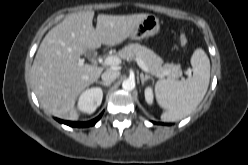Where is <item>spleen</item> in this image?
Wrapping results in <instances>:
<instances>
[{
  "label": "spleen",
  "instance_id": "1",
  "mask_svg": "<svg viewBox=\"0 0 248 165\" xmlns=\"http://www.w3.org/2000/svg\"><path fill=\"white\" fill-rule=\"evenodd\" d=\"M193 76L186 80H159L155 84L156 99L165 112L163 122H174L190 115L203 100L210 80V61L201 48L192 57Z\"/></svg>",
  "mask_w": 248,
  "mask_h": 165
}]
</instances>
